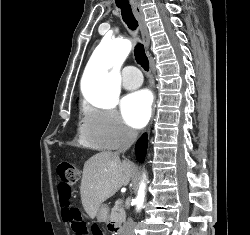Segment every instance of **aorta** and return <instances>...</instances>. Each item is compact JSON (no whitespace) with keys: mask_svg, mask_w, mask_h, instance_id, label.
Instances as JSON below:
<instances>
[{"mask_svg":"<svg viewBox=\"0 0 250 235\" xmlns=\"http://www.w3.org/2000/svg\"><path fill=\"white\" fill-rule=\"evenodd\" d=\"M131 51V42L121 40L116 43L103 40L95 49L86 70L87 81L83 89L84 96L92 103L102 107L114 105L118 99L120 75L119 66ZM145 183L141 182L136 209L143 206Z\"/></svg>","mask_w":250,"mask_h":235,"instance_id":"1","label":"aorta"}]
</instances>
